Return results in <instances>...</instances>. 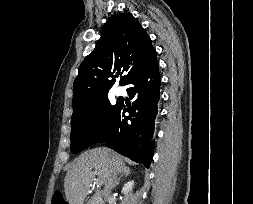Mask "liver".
Returning <instances> with one entry per match:
<instances>
[{
    "label": "liver",
    "mask_w": 253,
    "mask_h": 204,
    "mask_svg": "<svg viewBox=\"0 0 253 204\" xmlns=\"http://www.w3.org/2000/svg\"><path fill=\"white\" fill-rule=\"evenodd\" d=\"M123 158L106 147L94 148L82 153L66 173L65 196L69 204H83L95 179L105 184L110 175H117L125 168Z\"/></svg>",
    "instance_id": "6515ba94"
}]
</instances>
